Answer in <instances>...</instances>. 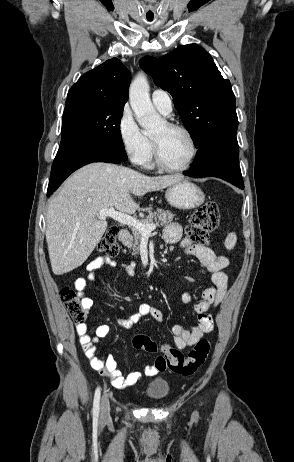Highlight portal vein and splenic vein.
<instances>
[{
	"instance_id": "18ae733b",
	"label": "portal vein and splenic vein",
	"mask_w": 294,
	"mask_h": 462,
	"mask_svg": "<svg viewBox=\"0 0 294 462\" xmlns=\"http://www.w3.org/2000/svg\"><path fill=\"white\" fill-rule=\"evenodd\" d=\"M97 216L102 219L110 217L121 224L136 228L143 236H149L151 232L156 229V224H143L136 218L116 211L114 208L102 209L98 212Z\"/></svg>"
}]
</instances>
